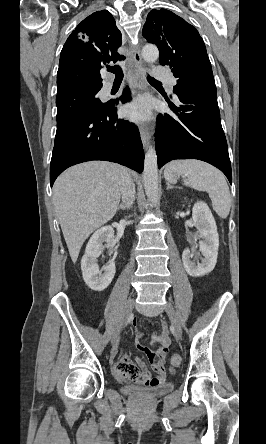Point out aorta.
I'll list each match as a JSON object with an SVG mask.
<instances>
[{
    "mask_svg": "<svg viewBox=\"0 0 266 444\" xmlns=\"http://www.w3.org/2000/svg\"><path fill=\"white\" fill-rule=\"evenodd\" d=\"M142 57L144 61L153 63L159 58V50L155 45L147 44L142 49ZM143 182L146 195L148 199L158 204V165L157 155L154 147H149L145 154L144 169H143Z\"/></svg>",
    "mask_w": 266,
    "mask_h": 444,
    "instance_id": "aorta-1",
    "label": "aorta"
}]
</instances>
